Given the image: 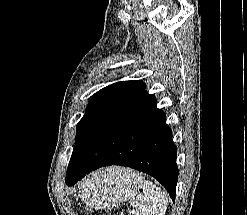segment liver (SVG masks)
Masks as SVG:
<instances>
[{
	"label": "liver",
	"instance_id": "1",
	"mask_svg": "<svg viewBox=\"0 0 247 215\" xmlns=\"http://www.w3.org/2000/svg\"><path fill=\"white\" fill-rule=\"evenodd\" d=\"M112 169H113V168H108V171H109V172H111V171H112ZM119 172H120V173H126V172H127V170H126V169H124V168H121V169H119Z\"/></svg>",
	"mask_w": 247,
	"mask_h": 215
}]
</instances>
